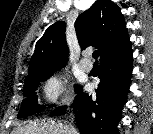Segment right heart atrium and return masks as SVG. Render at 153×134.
Masks as SVG:
<instances>
[{
  "label": "right heart atrium",
  "instance_id": "right-heart-atrium-1",
  "mask_svg": "<svg viewBox=\"0 0 153 134\" xmlns=\"http://www.w3.org/2000/svg\"><path fill=\"white\" fill-rule=\"evenodd\" d=\"M43 94L47 101L65 105L68 103L66 79L60 74L49 76L43 84Z\"/></svg>",
  "mask_w": 153,
  "mask_h": 134
}]
</instances>
